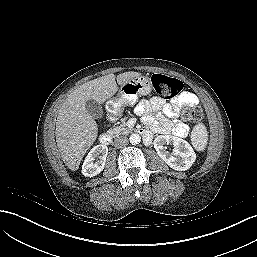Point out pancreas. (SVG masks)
<instances>
[{
    "label": "pancreas",
    "mask_w": 257,
    "mask_h": 257,
    "mask_svg": "<svg viewBox=\"0 0 257 257\" xmlns=\"http://www.w3.org/2000/svg\"><path fill=\"white\" fill-rule=\"evenodd\" d=\"M131 132H132V129L127 127L125 123H122L120 126H116L109 130V133L114 136L128 135Z\"/></svg>",
    "instance_id": "obj_1"
}]
</instances>
